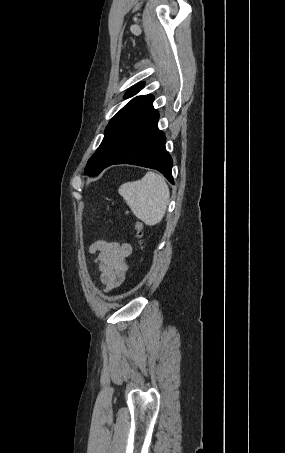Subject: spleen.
<instances>
[{
	"label": "spleen",
	"mask_w": 285,
	"mask_h": 453,
	"mask_svg": "<svg viewBox=\"0 0 285 453\" xmlns=\"http://www.w3.org/2000/svg\"><path fill=\"white\" fill-rule=\"evenodd\" d=\"M118 192L133 214L146 225L154 226L163 219L170 191L162 175L147 172L140 180L122 184Z\"/></svg>",
	"instance_id": "3e777b00"
}]
</instances>
